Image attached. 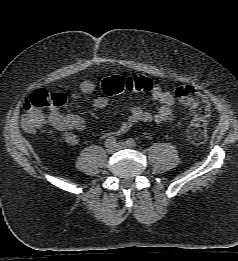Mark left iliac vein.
Listing matches in <instances>:
<instances>
[{
	"label": "left iliac vein",
	"instance_id": "left-iliac-vein-1",
	"mask_svg": "<svg viewBox=\"0 0 238 261\" xmlns=\"http://www.w3.org/2000/svg\"><path fill=\"white\" fill-rule=\"evenodd\" d=\"M116 147L118 150L124 149L127 147V144H125L124 142H119V143H117Z\"/></svg>",
	"mask_w": 238,
	"mask_h": 261
}]
</instances>
